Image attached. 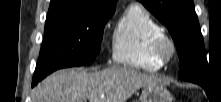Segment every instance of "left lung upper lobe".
<instances>
[{"label":"left lung upper lobe","instance_id":"1","mask_svg":"<svg viewBox=\"0 0 221 102\" xmlns=\"http://www.w3.org/2000/svg\"><path fill=\"white\" fill-rule=\"evenodd\" d=\"M169 30L180 58L179 78L199 85L209 80L204 42L193 0H139Z\"/></svg>","mask_w":221,"mask_h":102}]
</instances>
